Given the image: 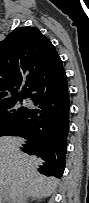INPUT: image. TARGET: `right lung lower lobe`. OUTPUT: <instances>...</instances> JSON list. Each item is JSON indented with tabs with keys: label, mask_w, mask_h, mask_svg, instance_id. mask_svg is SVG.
<instances>
[{
	"label": "right lung lower lobe",
	"mask_w": 89,
	"mask_h": 203,
	"mask_svg": "<svg viewBox=\"0 0 89 203\" xmlns=\"http://www.w3.org/2000/svg\"><path fill=\"white\" fill-rule=\"evenodd\" d=\"M27 97L36 109H28L9 135L27 140L21 150L37 155L43 162L39 172L46 176L62 177L65 168L69 132V94L63 65L42 76L30 89Z\"/></svg>",
	"instance_id": "98d812e1"
}]
</instances>
